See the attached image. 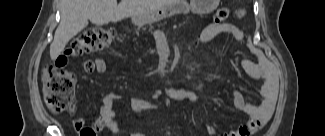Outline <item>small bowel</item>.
Wrapping results in <instances>:
<instances>
[{
  "label": "small bowel",
  "mask_w": 325,
  "mask_h": 136,
  "mask_svg": "<svg viewBox=\"0 0 325 136\" xmlns=\"http://www.w3.org/2000/svg\"><path fill=\"white\" fill-rule=\"evenodd\" d=\"M223 34H230L237 41L243 40L242 31L230 23L208 24L200 32L199 40L204 44H211L216 37ZM73 48L74 47L72 45L69 48H64V53H58L56 58L57 66L55 67V70L59 72L60 75H64L66 86L68 88H75V80H77L79 77L77 73H72L71 68H68L67 60L69 58V55H73ZM256 56L257 63L251 62L249 60H244L243 66L251 76L262 80V86L260 90L262 98L261 104L259 106L252 105L245 100L242 94L239 92H233L232 97L235 107L246 113L249 118L242 125L224 132V136L251 135L253 131H258L261 126L267 123L270 119L275 103L277 83L269 64L263 58L262 54L256 52ZM106 68V62L102 57H95L93 60H88L84 63V70L87 73H92L94 71L98 73H104L106 71ZM189 70V73L186 75L169 78L164 82L162 91L167 97L175 101L189 100L196 102L200 100L199 95L195 92L184 89H174L171 87V85L174 83L192 80L195 73L199 70V65L195 62H192L189 65ZM119 99H121V95L118 93L108 94L103 100L100 117L92 124L91 127H86L82 118H75L73 120V126L80 133L84 130H93L95 132H98L103 129H107L111 133H117L119 131L120 125L115 119L116 112L114 110V104ZM145 107L146 103L141 99L132 98L130 100L129 108L132 112L141 111ZM73 110L74 108L71 109V111ZM208 131L209 133H213V127L208 126Z\"/></svg>",
  "instance_id": "small-bowel-1"
}]
</instances>
